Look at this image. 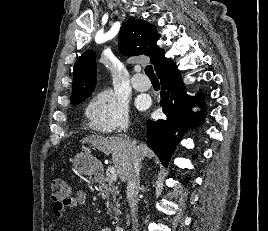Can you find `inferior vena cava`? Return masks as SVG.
I'll return each instance as SVG.
<instances>
[{
  "label": "inferior vena cava",
  "instance_id": "1",
  "mask_svg": "<svg viewBox=\"0 0 268 231\" xmlns=\"http://www.w3.org/2000/svg\"><path fill=\"white\" fill-rule=\"evenodd\" d=\"M131 166L125 174V181H127V198L130 207V213L132 217V228L136 231L138 228L137 210H138V193L140 184V164L141 156L139 151L135 148L132 149Z\"/></svg>",
  "mask_w": 268,
  "mask_h": 231
}]
</instances>
